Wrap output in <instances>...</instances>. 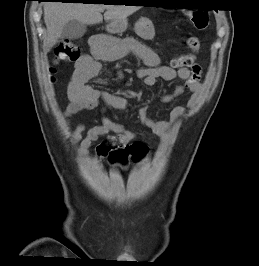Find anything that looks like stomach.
<instances>
[{"label": "stomach", "instance_id": "obj_1", "mask_svg": "<svg viewBox=\"0 0 259 266\" xmlns=\"http://www.w3.org/2000/svg\"><path fill=\"white\" fill-rule=\"evenodd\" d=\"M127 28V20H119L108 25V31L111 33H122ZM136 33L143 39H152L155 35L153 24L148 19H141L135 25Z\"/></svg>", "mask_w": 259, "mask_h": 266}]
</instances>
